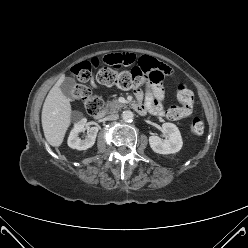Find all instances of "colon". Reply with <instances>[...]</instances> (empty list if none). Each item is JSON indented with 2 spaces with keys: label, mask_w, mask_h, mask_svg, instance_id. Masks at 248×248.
Listing matches in <instances>:
<instances>
[{
  "label": "colon",
  "mask_w": 248,
  "mask_h": 248,
  "mask_svg": "<svg viewBox=\"0 0 248 248\" xmlns=\"http://www.w3.org/2000/svg\"><path fill=\"white\" fill-rule=\"evenodd\" d=\"M98 62H84L77 65L73 74L75 78L81 82L90 80L96 71ZM164 76L155 77V71H151L150 75H146L139 69L118 72L111 67H102L96 72V79L99 83L106 86H117L121 89L141 88L148 84L149 81L154 85H159ZM177 98L180 106H172L169 108L167 115L170 119L176 120L190 112L194 106V93L184 83L177 85ZM72 95L75 99L81 100L87 112L94 115L99 112L103 106V100L86 85H77L74 87ZM189 131L194 135L202 134L204 123L201 118L193 117L188 123Z\"/></svg>",
  "instance_id": "5ec220e1"
}]
</instances>
